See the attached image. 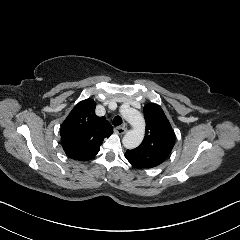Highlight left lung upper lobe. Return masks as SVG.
<instances>
[{"instance_id":"5c2ea615","label":"left lung upper lobe","mask_w":240,"mask_h":240,"mask_svg":"<svg viewBox=\"0 0 240 240\" xmlns=\"http://www.w3.org/2000/svg\"><path fill=\"white\" fill-rule=\"evenodd\" d=\"M144 116L146 131L142 143L125 153L130 164L139 169L152 168L161 164L175 144L172 127L159 105H145Z\"/></svg>"}]
</instances>
